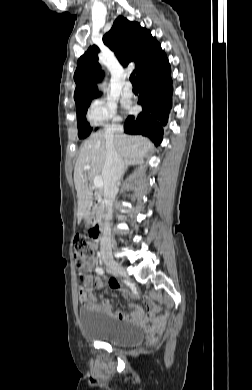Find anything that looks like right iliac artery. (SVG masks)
<instances>
[{
  "label": "right iliac artery",
  "instance_id": "1",
  "mask_svg": "<svg viewBox=\"0 0 252 390\" xmlns=\"http://www.w3.org/2000/svg\"><path fill=\"white\" fill-rule=\"evenodd\" d=\"M96 272H97L98 274H103V273H104V270H103L102 268L98 267V268H96Z\"/></svg>",
  "mask_w": 252,
  "mask_h": 390
}]
</instances>
